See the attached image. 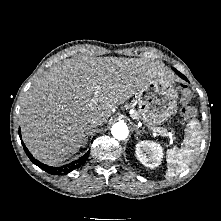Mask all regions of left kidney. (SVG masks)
Returning <instances> with one entry per match:
<instances>
[{
  "label": "left kidney",
  "instance_id": "obj_1",
  "mask_svg": "<svg viewBox=\"0 0 221 221\" xmlns=\"http://www.w3.org/2000/svg\"><path fill=\"white\" fill-rule=\"evenodd\" d=\"M136 156L146 167L155 168L161 164L163 148L160 144L151 141H140L136 144Z\"/></svg>",
  "mask_w": 221,
  "mask_h": 221
}]
</instances>
